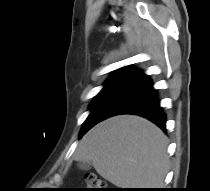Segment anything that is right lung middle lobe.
Masks as SVG:
<instances>
[{"mask_svg":"<svg viewBox=\"0 0 210 191\" xmlns=\"http://www.w3.org/2000/svg\"><path fill=\"white\" fill-rule=\"evenodd\" d=\"M124 70H125V67L116 70L111 75V77L105 82L104 88L96 96L95 100L91 103V105H90L91 113L81 128L80 137H82L84 135V133H86L91 127H93L95 125L96 114H97L99 108L105 102V100L108 98L113 87L115 86V84L117 83L119 78L124 73Z\"/></svg>","mask_w":210,"mask_h":191,"instance_id":"obj_1","label":"right lung middle lobe"}]
</instances>
